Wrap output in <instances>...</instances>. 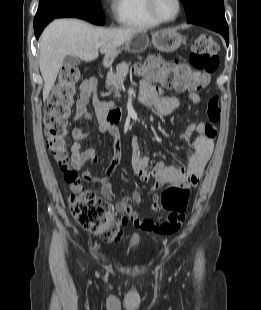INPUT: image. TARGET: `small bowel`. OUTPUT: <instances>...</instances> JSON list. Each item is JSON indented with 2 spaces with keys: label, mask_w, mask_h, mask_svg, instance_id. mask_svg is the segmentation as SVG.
<instances>
[{
  "label": "small bowel",
  "mask_w": 261,
  "mask_h": 310,
  "mask_svg": "<svg viewBox=\"0 0 261 310\" xmlns=\"http://www.w3.org/2000/svg\"><path fill=\"white\" fill-rule=\"evenodd\" d=\"M95 90L96 83L94 80H86L81 84L80 95L77 102L76 119L89 120L91 118L88 108L91 95ZM141 100L153 104L156 110L163 115L170 114L180 104L178 98L165 95L161 88L148 81L141 82ZM188 100L193 104H198L201 98L198 93L192 92L188 95ZM198 125L199 124L196 123H189L181 134V138L185 141H190L192 147V153L186 159L185 163H179L176 165L158 163L153 169L149 170V156L144 154L137 138L131 140V163L133 170L143 182H152V190H157L165 184L177 183L180 181L190 182L194 186L198 183L202 172L211 157L214 145L213 138L204 136L198 130ZM100 131L113 137L111 161L105 170V176L103 178L98 179L94 177L90 169H85L83 171V178L90 183L101 184L100 192L105 199L115 202L116 214H127L135 227L145 230L143 224L153 220L142 218L134 209V204H138L141 201L140 193L133 192L130 196L118 199L113 192L109 181V177L114 173L120 160V140L117 136V132L113 127L104 122L100 125ZM194 132H197V134L193 136ZM72 136L75 140L71 146L72 169L74 171H79L84 168L87 163L95 164L98 160L95 149L84 148L82 144V142L88 137V132L82 127H76L72 132ZM71 189L78 192L80 187L71 185ZM152 209L154 211L160 209L156 204V199L152 204Z\"/></svg>",
  "instance_id": "1"
}]
</instances>
